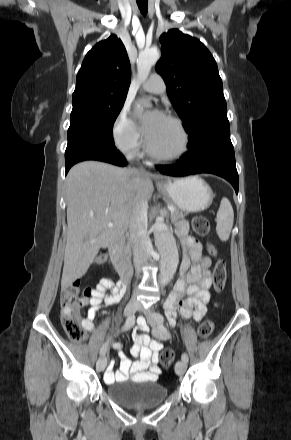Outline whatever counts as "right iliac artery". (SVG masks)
Returning a JSON list of instances; mask_svg holds the SVG:
<instances>
[{
	"label": "right iliac artery",
	"mask_w": 291,
	"mask_h": 440,
	"mask_svg": "<svg viewBox=\"0 0 291 440\" xmlns=\"http://www.w3.org/2000/svg\"><path fill=\"white\" fill-rule=\"evenodd\" d=\"M135 323V317L130 315L127 317L124 326L122 327V331L130 329ZM108 349V343H104L100 350V355L104 356Z\"/></svg>",
	"instance_id": "obj_1"
}]
</instances>
